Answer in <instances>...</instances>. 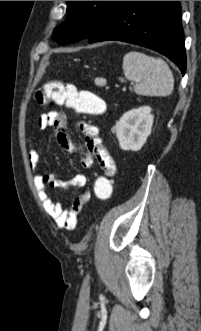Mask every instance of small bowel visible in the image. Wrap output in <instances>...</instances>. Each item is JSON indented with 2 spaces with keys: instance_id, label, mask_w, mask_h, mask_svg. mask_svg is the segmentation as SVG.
<instances>
[{
  "instance_id": "obj_1",
  "label": "small bowel",
  "mask_w": 201,
  "mask_h": 331,
  "mask_svg": "<svg viewBox=\"0 0 201 331\" xmlns=\"http://www.w3.org/2000/svg\"><path fill=\"white\" fill-rule=\"evenodd\" d=\"M37 124L40 130L54 127L59 144L68 152L77 153L83 168H90L95 159L103 175L109 178L114 176L116 172L114 160L104 146L97 126L85 121L79 123V129L84 135V147H82L73 139L64 113L55 110L41 114ZM27 155L34 185L46 213L58 227L73 230L77 225L80 211L90 199V189L87 187L86 176L77 175L70 181H62L53 174L42 175L38 170L39 153L30 143ZM69 187H78L81 189V192L74 199L71 207L65 209L61 203L52 199L49 188Z\"/></svg>"
}]
</instances>
